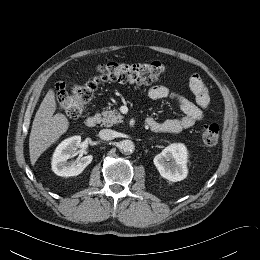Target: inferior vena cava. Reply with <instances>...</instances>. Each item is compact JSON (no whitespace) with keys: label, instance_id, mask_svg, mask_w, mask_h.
<instances>
[{"label":"inferior vena cava","instance_id":"obj_1","mask_svg":"<svg viewBox=\"0 0 260 260\" xmlns=\"http://www.w3.org/2000/svg\"><path fill=\"white\" fill-rule=\"evenodd\" d=\"M98 136L102 139V140H111L114 138V131L111 129H102Z\"/></svg>","mask_w":260,"mask_h":260}]
</instances>
